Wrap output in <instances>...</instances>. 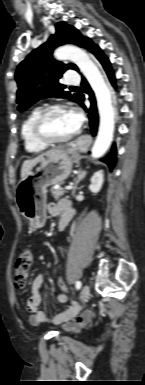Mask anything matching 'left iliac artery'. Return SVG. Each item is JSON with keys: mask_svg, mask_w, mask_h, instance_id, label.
Instances as JSON below:
<instances>
[{"mask_svg": "<svg viewBox=\"0 0 145 385\" xmlns=\"http://www.w3.org/2000/svg\"><path fill=\"white\" fill-rule=\"evenodd\" d=\"M75 286H76V289L79 290L81 288V286H82L81 281H77Z\"/></svg>", "mask_w": 145, "mask_h": 385, "instance_id": "obj_1", "label": "left iliac artery"}]
</instances>
